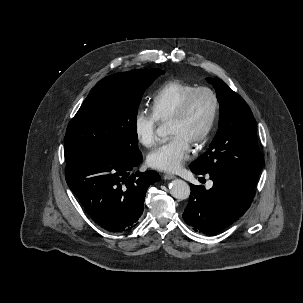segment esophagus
<instances>
[{
    "mask_svg": "<svg viewBox=\"0 0 303 303\" xmlns=\"http://www.w3.org/2000/svg\"><path fill=\"white\" fill-rule=\"evenodd\" d=\"M165 180H172L174 178H176L174 175L172 174H165L163 177Z\"/></svg>",
    "mask_w": 303,
    "mask_h": 303,
    "instance_id": "34e87169",
    "label": "esophagus"
}]
</instances>
